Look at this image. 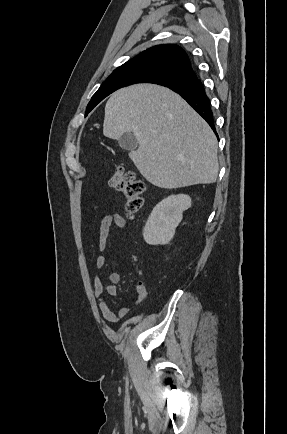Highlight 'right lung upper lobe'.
I'll return each instance as SVG.
<instances>
[{"label":"right lung upper lobe","instance_id":"1","mask_svg":"<svg viewBox=\"0 0 287 434\" xmlns=\"http://www.w3.org/2000/svg\"><path fill=\"white\" fill-rule=\"evenodd\" d=\"M143 68L165 70L180 76L179 80L189 72L193 71L187 54L179 46L165 44L157 45L143 51L133 59L115 69L113 73L133 71ZM177 81H163L158 84L167 86Z\"/></svg>","mask_w":287,"mask_h":434}]
</instances>
